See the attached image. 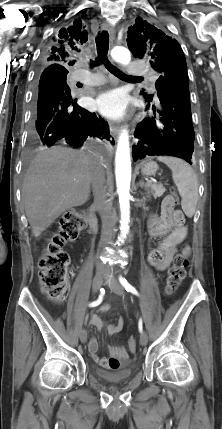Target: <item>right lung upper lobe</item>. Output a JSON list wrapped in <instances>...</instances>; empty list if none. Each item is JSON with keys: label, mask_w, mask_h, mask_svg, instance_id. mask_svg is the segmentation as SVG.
Returning a JSON list of instances; mask_svg holds the SVG:
<instances>
[{"label": "right lung upper lobe", "mask_w": 222, "mask_h": 429, "mask_svg": "<svg viewBox=\"0 0 222 429\" xmlns=\"http://www.w3.org/2000/svg\"><path fill=\"white\" fill-rule=\"evenodd\" d=\"M87 39V33L80 30V25L61 29L54 43L45 50V68H53L59 75L68 74L65 68L67 61L79 51V45Z\"/></svg>", "instance_id": "right-lung-upper-lobe-1"}]
</instances>
